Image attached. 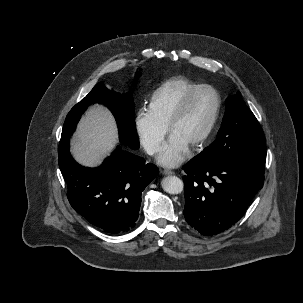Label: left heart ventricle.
Wrapping results in <instances>:
<instances>
[{
    "instance_id": "1",
    "label": "left heart ventricle",
    "mask_w": 303,
    "mask_h": 303,
    "mask_svg": "<svg viewBox=\"0 0 303 303\" xmlns=\"http://www.w3.org/2000/svg\"><path fill=\"white\" fill-rule=\"evenodd\" d=\"M216 106L215 94L203 89L191 100L182 118L174 126L172 133L179 135L191 146L207 128Z\"/></svg>"
}]
</instances>
